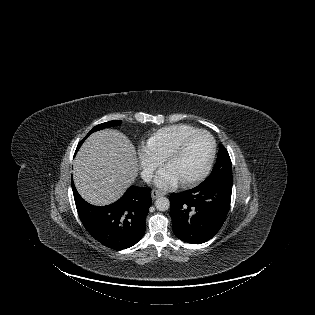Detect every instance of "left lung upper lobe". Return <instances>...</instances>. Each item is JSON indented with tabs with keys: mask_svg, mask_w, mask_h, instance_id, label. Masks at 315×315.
Here are the masks:
<instances>
[{
	"mask_svg": "<svg viewBox=\"0 0 315 315\" xmlns=\"http://www.w3.org/2000/svg\"><path fill=\"white\" fill-rule=\"evenodd\" d=\"M224 182L233 183L232 165L227 150L223 145H220L216 164L204 183L219 184Z\"/></svg>",
	"mask_w": 315,
	"mask_h": 315,
	"instance_id": "1",
	"label": "left lung upper lobe"
}]
</instances>
